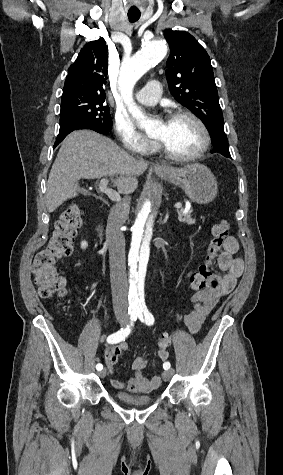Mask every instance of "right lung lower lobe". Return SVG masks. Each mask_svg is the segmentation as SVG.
Returning a JSON list of instances; mask_svg holds the SVG:
<instances>
[{
  "mask_svg": "<svg viewBox=\"0 0 283 475\" xmlns=\"http://www.w3.org/2000/svg\"><path fill=\"white\" fill-rule=\"evenodd\" d=\"M78 129H90V130H94L100 134H106L108 133L109 131H105V130H102L100 128H95V127H92L91 125L89 124H86V123H83V122H69V123H65V124H61L60 125V130H59V134L56 138V142L54 144V148L69 134L71 133L72 131L74 130H78Z\"/></svg>",
  "mask_w": 283,
  "mask_h": 475,
  "instance_id": "right-lung-lower-lobe-1",
  "label": "right lung lower lobe"
}]
</instances>
